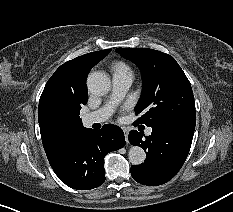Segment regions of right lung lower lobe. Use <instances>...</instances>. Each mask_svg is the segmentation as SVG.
Wrapping results in <instances>:
<instances>
[{"label":"right lung lower lobe","mask_w":233,"mask_h":212,"mask_svg":"<svg viewBox=\"0 0 233 212\" xmlns=\"http://www.w3.org/2000/svg\"><path fill=\"white\" fill-rule=\"evenodd\" d=\"M125 145L122 129L106 124L100 130L82 128L50 165L59 179L74 189H93L105 181L103 159Z\"/></svg>","instance_id":"98d812e1"}]
</instances>
